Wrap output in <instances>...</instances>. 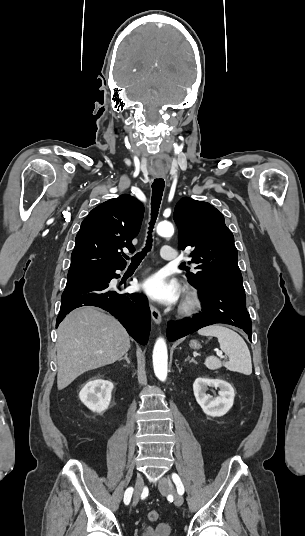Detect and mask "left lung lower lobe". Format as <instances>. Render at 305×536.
<instances>
[{
	"label": "left lung lower lobe",
	"mask_w": 305,
	"mask_h": 536,
	"mask_svg": "<svg viewBox=\"0 0 305 536\" xmlns=\"http://www.w3.org/2000/svg\"><path fill=\"white\" fill-rule=\"evenodd\" d=\"M200 293L203 300L202 312L190 319L168 322L169 341H175L216 323H226L243 329L251 341L252 323L245 306L244 288L208 287L200 289Z\"/></svg>",
	"instance_id": "0a47b994"
}]
</instances>
